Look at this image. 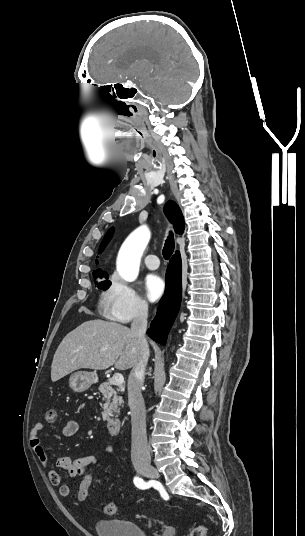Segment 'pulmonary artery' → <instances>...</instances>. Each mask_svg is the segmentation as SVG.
Returning <instances> with one entry per match:
<instances>
[{
  "label": "pulmonary artery",
  "mask_w": 305,
  "mask_h": 536,
  "mask_svg": "<svg viewBox=\"0 0 305 536\" xmlns=\"http://www.w3.org/2000/svg\"><path fill=\"white\" fill-rule=\"evenodd\" d=\"M157 260L158 257L156 255L148 254L144 258V263L148 269L156 270L159 268V263L156 262Z\"/></svg>",
  "instance_id": "e3ab8cb5"
}]
</instances>
